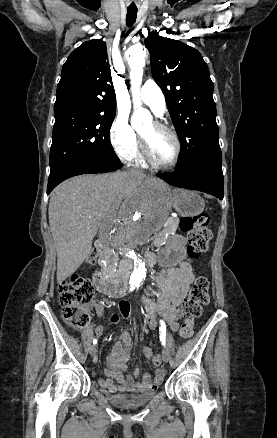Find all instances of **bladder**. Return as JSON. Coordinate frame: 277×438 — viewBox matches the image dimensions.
<instances>
[{"instance_id": "bladder-1", "label": "bladder", "mask_w": 277, "mask_h": 438, "mask_svg": "<svg viewBox=\"0 0 277 438\" xmlns=\"http://www.w3.org/2000/svg\"><path fill=\"white\" fill-rule=\"evenodd\" d=\"M157 394V389H147L136 394H123L112 391L105 392V396L110 404L124 409H136L140 406L147 405Z\"/></svg>"}]
</instances>
